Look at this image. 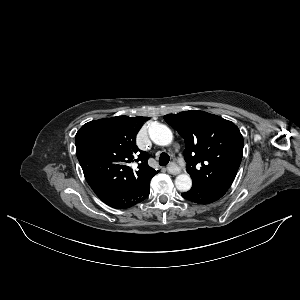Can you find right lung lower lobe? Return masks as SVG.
Masks as SVG:
<instances>
[{"mask_svg": "<svg viewBox=\"0 0 300 300\" xmlns=\"http://www.w3.org/2000/svg\"><path fill=\"white\" fill-rule=\"evenodd\" d=\"M150 180L140 186H129L112 194L100 196L99 198L107 205L125 209L132 207L147 198L149 195Z\"/></svg>", "mask_w": 300, "mask_h": 300, "instance_id": "right-lung-lower-lobe-1", "label": "right lung lower lobe"}]
</instances>
